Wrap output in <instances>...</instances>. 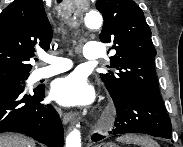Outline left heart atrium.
I'll list each match as a JSON object with an SVG mask.
<instances>
[{
	"label": "left heart atrium",
	"mask_w": 183,
	"mask_h": 147,
	"mask_svg": "<svg viewBox=\"0 0 183 147\" xmlns=\"http://www.w3.org/2000/svg\"><path fill=\"white\" fill-rule=\"evenodd\" d=\"M51 95L61 105L80 106L93 101L94 91L81 74L73 73L55 80Z\"/></svg>",
	"instance_id": "1"
}]
</instances>
